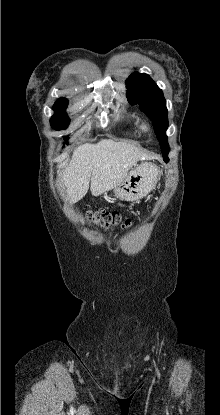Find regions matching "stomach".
I'll use <instances>...</instances> for the list:
<instances>
[{
  "label": "stomach",
  "instance_id": "1",
  "mask_svg": "<svg viewBox=\"0 0 220 415\" xmlns=\"http://www.w3.org/2000/svg\"><path fill=\"white\" fill-rule=\"evenodd\" d=\"M160 177L157 167L149 162L131 170L124 181L113 188L121 200L135 201L146 196L157 184Z\"/></svg>",
  "mask_w": 220,
  "mask_h": 415
}]
</instances>
